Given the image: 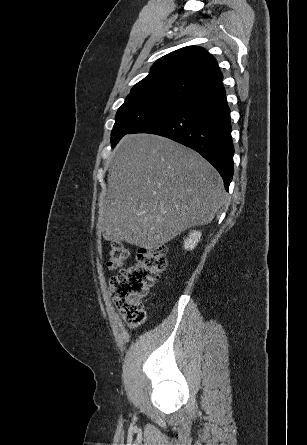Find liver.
Masks as SVG:
<instances>
[{
	"instance_id": "1",
	"label": "liver",
	"mask_w": 307,
	"mask_h": 445,
	"mask_svg": "<svg viewBox=\"0 0 307 445\" xmlns=\"http://www.w3.org/2000/svg\"><path fill=\"white\" fill-rule=\"evenodd\" d=\"M224 198L219 172L199 152L158 134H127L109 166L99 227L105 241L152 251L211 223Z\"/></svg>"
}]
</instances>
